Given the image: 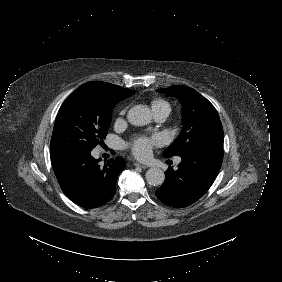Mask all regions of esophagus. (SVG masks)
Instances as JSON below:
<instances>
[{
  "label": "esophagus",
  "instance_id": "esophagus-1",
  "mask_svg": "<svg viewBox=\"0 0 282 282\" xmlns=\"http://www.w3.org/2000/svg\"><path fill=\"white\" fill-rule=\"evenodd\" d=\"M134 166L140 167V168H142V169H145V168H146L145 165H143V164H141V163H137V162L134 163Z\"/></svg>",
  "mask_w": 282,
  "mask_h": 282
}]
</instances>
